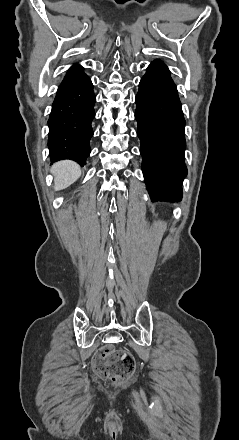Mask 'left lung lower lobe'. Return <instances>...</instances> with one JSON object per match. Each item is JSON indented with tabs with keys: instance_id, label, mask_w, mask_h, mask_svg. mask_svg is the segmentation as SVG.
Wrapping results in <instances>:
<instances>
[{
	"instance_id": "obj_1",
	"label": "left lung lower lobe",
	"mask_w": 239,
	"mask_h": 440,
	"mask_svg": "<svg viewBox=\"0 0 239 440\" xmlns=\"http://www.w3.org/2000/svg\"><path fill=\"white\" fill-rule=\"evenodd\" d=\"M135 101L142 170L150 197L179 201L187 174L185 119L176 85L163 62L149 65Z\"/></svg>"
}]
</instances>
